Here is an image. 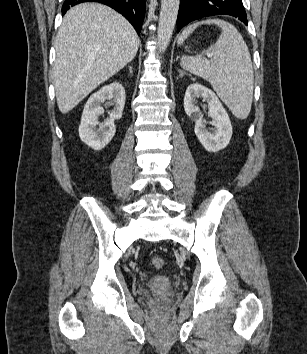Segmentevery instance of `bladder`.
I'll return each instance as SVG.
<instances>
[{
	"label": "bladder",
	"instance_id": "1",
	"mask_svg": "<svg viewBox=\"0 0 307 354\" xmlns=\"http://www.w3.org/2000/svg\"><path fill=\"white\" fill-rule=\"evenodd\" d=\"M172 282L169 277L165 275H156L150 280V287L155 291H166L170 289Z\"/></svg>",
	"mask_w": 307,
	"mask_h": 354
}]
</instances>
